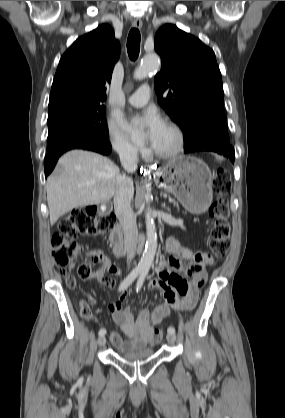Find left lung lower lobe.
I'll return each mask as SVG.
<instances>
[{
	"label": "left lung lower lobe",
	"mask_w": 285,
	"mask_h": 418,
	"mask_svg": "<svg viewBox=\"0 0 285 418\" xmlns=\"http://www.w3.org/2000/svg\"><path fill=\"white\" fill-rule=\"evenodd\" d=\"M196 151H214L219 154H223L225 157L229 158L233 163L235 160V152L230 143L212 141V142H202L196 145H193L189 148H184L185 153L196 152Z\"/></svg>",
	"instance_id": "obj_1"
}]
</instances>
